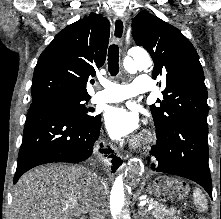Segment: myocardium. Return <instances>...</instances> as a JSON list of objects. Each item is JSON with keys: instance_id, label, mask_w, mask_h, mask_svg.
<instances>
[{"instance_id": "obj_1", "label": "myocardium", "mask_w": 221, "mask_h": 219, "mask_svg": "<svg viewBox=\"0 0 221 219\" xmlns=\"http://www.w3.org/2000/svg\"><path fill=\"white\" fill-rule=\"evenodd\" d=\"M150 142H151V139L148 136H142L135 142V144L138 147H144L147 144H149Z\"/></svg>"}]
</instances>
